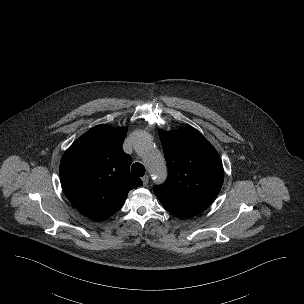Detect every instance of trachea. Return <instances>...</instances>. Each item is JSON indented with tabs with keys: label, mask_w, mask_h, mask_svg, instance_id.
<instances>
[{
	"label": "trachea",
	"mask_w": 304,
	"mask_h": 304,
	"mask_svg": "<svg viewBox=\"0 0 304 304\" xmlns=\"http://www.w3.org/2000/svg\"><path fill=\"white\" fill-rule=\"evenodd\" d=\"M131 171L134 175L142 177L145 173V167L141 163L136 162L132 165Z\"/></svg>",
	"instance_id": "obj_1"
}]
</instances>
